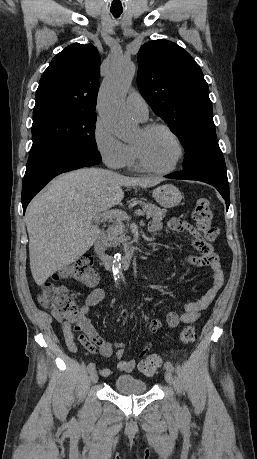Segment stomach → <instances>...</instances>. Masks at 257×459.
Wrapping results in <instances>:
<instances>
[{"mask_svg": "<svg viewBox=\"0 0 257 459\" xmlns=\"http://www.w3.org/2000/svg\"><path fill=\"white\" fill-rule=\"evenodd\" d=\"M153 197L157 203L165 208L177 206L182 200L179 189L172 184H165L153 191Z\"/></svg>", "mask_w": 257, "mask_h": 459, "instance_id": "1", "label": "stomach"}]
</instances>
